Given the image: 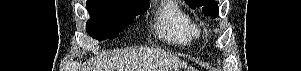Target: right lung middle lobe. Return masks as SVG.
I'll return each instance as SVG.
<instances>
[{
	"instance_id": "right-lung-middle-lobe-1",
	"label": "right lung middle lobe",
	"mask_w": 301,
	"mask_h": 71,
	"mask_svg": "<svg viewBox=\"0 0 301 71\" xmlns=\"http://www.w3.org/2000/svg\"><path fill=\"white\" fill-rule=\"evenodd\" d=\"M149 2L132 0H88L90 19L87 33L99 41L116 37L120 31L149 8Z\"/></svg>"
}]
</instances>
